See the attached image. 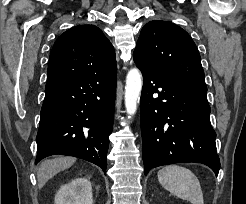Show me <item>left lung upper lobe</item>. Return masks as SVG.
Wrapping results in <instances>:
<instances>
[{
  "label": "left lung upper lobe",
  "instance_id": "1",
  "mask_svg": "<svg viewBox=\"0 0 246 204\" xmlns=\"http://www.w3.org/2000/svg\"><path fill=\"white\" fill-rule=\"evenodd\" d=\"M133 57L144 71L205 83L199 51L189 34L176 24L159 20L147 23Z\"/></svg>",
  "mask_w": 246,
  "mask_h": 204
}]
</instances>
